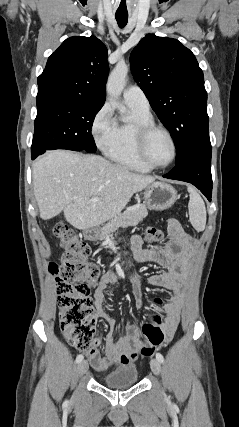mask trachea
I'll use <instances>...</instances> for the list:
<instances>
[{"label": "trachea", "instance_id": "trachea-1", "mask_svg": "<svg viewBox=\"0 0 239 427\" xmlns=\"http://www.w3.org/2000/svg\"><path fill=\"white\" fill-rule=\"evenodd\" d=\"M115 18L120 28L126 26L128 22V15H115Z\"/></svg>", "mask_w": 239, "mask_h": 427}]
</instances>
